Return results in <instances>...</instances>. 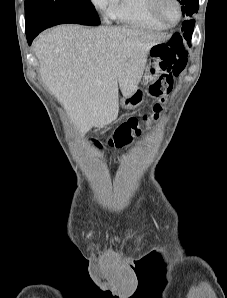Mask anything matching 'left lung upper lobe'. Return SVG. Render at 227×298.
<instances>
[{
    "label": "left lung upper lobe",
    "instance_id": "obj_1",
    "mask_svg": "<svg viewBox=\"0 0 227 298\" xmlns=\"http://www.w3.org/2000/svg\"><path fill=\"white\" fill-rule=\"evenodd\" d=\"M182 5V14L183 16H188L189 19L185 20L182 23V31L184 32V38L186 40H190L192 38L193 28L195 24V20L193 19V15L197 13L199 8V0H178Z\"/></svg>",
    "mask_w": 227,
    "mask_h": 298
}]
</instances>
